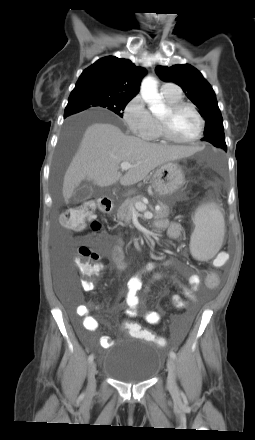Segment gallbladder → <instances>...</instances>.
<instances>
[{
    "label": "gallbladder",
    "instance_id": "gallbladder-1",
    "mask_svg": "<svg viewBox=\"0 0 255 440\" xmlns=\"http://www.w3.org/2000/svg\"><path fill=\"white\" fill-rule=\"evenodd\" d=\"M93 194L92 185L90 184H83L79 188L75 190L73 193L71 200L73 202H83L87 199H89Z\"/></svg>",
    "mask_w": 255,
    "mask_h": 440
}]
</instances>
